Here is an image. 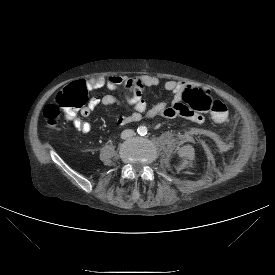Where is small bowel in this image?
<instances>
[{
    "mask_svg": "<svg viewBox=\"0 0 275 275\" xmlns=\"http://www.w3.org/2000/svg\"><path fill=\"white\" fill-rule=\"evenodd\" d=\"M160 83L161 80L157 76L144 74L135 76H96L90 78L87 81V86L90 89L105 87L110 92L122 90L124 99L122 100L110 93L102 96H93L90 98L87 106L81 111V114L86 117L98 106L122 107L124 103H127L133 107L134 112L127 116L118 117L117 124L120 126L138 122L143 117L151 119L157 116L168 119L182 116L196 123L204 122V117L192 113L189 108L183 104L181 95L187 83L182 81L168 80L164 83V89L173 94V100L170 104L159 102L148 107L144 99V91L146 88L156 87L160 85ZM72 121L79 131L83 133L91 131V124L88 121L79 117L72 118Z\"/></svg>",
    "mask_w": 275,
    "mask_h": 275,
    "instance_id": "obj_1",
    "label": "small bowel"
}]
</instances>
